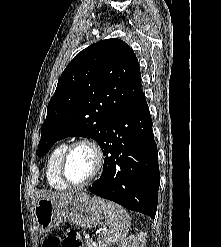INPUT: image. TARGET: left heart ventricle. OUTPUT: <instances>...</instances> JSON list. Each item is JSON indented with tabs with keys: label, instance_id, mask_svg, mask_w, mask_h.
<instances>
[{
	"label": "left heart ventricle",
	"instance_id": "1",
	"mask_svg": "<svg viewBox=\"0 0 221 247\" xmlns=\"http://www.w3.org/2000/svg\"><path fill=\"white\" fill-rule=\"evenodd\" d=\"M95 158L91 149L85 146L77 147L67 161L66 173L74 183L86 180L93 172Z\"/></svg>",
	"mask_w": 221,
	"mask_h": 247
}]
</instances>
